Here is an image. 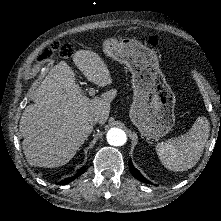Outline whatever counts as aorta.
Returning a JSON list of instances; mask_svg holds the SVG:
<instances>
[{
    "instance_id": "762f6f07",
    "label": "aorta",
    "mask_w": 221,
    "mask_h": 221,
    "mask_svg": "<svg viewBox=\"0 0 221 221\" xmlns=\"http://www.w3.org/2000/svg\"><path fill=\"white\" fill-rule=\"evenodd\" d=\"M107 141L112 146H122L126 143L127 136L124 130L114 127L108 131Z\"/></svg>"
}]
</instances>
